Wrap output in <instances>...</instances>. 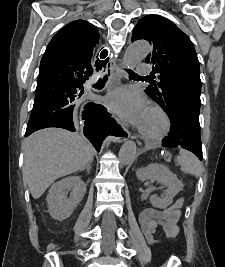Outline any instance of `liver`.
Here are the masks:
<instances>
[{"instance_id":"liver-1","label":"liver","mask_w":225,"mask_h":267,"mask_svg":"<svg viewBox=\"0 0 225 267\" xmlns=\"http://www.w3.org/2000/svg\"><path fill=\"white\" fill-rule=\"evenodd\" d=\"M23 180L34 199L58 178L84 169L93 160L91 145L80 135L58 128L31 134L23 144Z\"/></svg>"}]
</instances>
